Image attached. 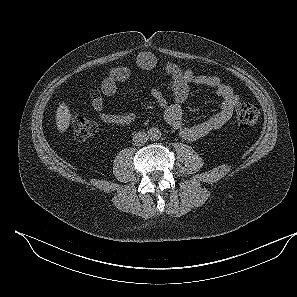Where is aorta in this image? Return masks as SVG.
I'll return each instance as SVG.
<instances>
[{
	"mask_svg": "<svg viewBox=\"0 0 297 297\" xmlns=\"http://www.w3.org/2000/svg\"><path fill=\"white\" fill-rule=\"evenodd\" d=\"M148 137L153 141L158 140L161 137V131L156 127H152L148 130Z\"/></svg>",
	"mask_w": 297,
	"mask_h": 297,
	"instance_id": "1",
	"label": "aorta"
}]
</instances>
